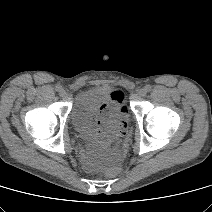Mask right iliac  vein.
<instances>
[{
  "mask_svg": "<svg viewBox=\"0 0 212 212\" xmlns=\"http://www.w3.org/2000/svg\"><path fill=\"white\" fill-rule=\"evenodd\" d=\"M59 94H60L61 97H65L66 96V91L63 88H61L59 90Z\"/></svg>",
  "mask_w": 212,
  "mask_h": 212,
  "instance_id": "right-iliac-vein-1",
  "label": "right iliac vein"
}]
</instances>
